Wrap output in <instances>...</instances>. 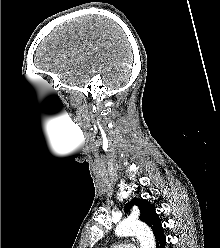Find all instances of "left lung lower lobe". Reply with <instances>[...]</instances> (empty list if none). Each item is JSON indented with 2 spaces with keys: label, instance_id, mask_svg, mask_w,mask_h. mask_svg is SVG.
<instances>
[{
  "label": "left lung lower lobe",
  "instance_id": "left-lung-lower-lobe-1",
  "mask_svg": "<svg viewBox=\"0 0 220 248\" xmlns=\"http://www.w3.org/2000/svg\"><path fill=\"white\" fill-rule=\"evenodd\" d=\"M156 248H165L166 239L163 233V228L156 235Z\"/></svg>",
  "mask_w": 220,
  "mask_h": 248
}]
</instances>
